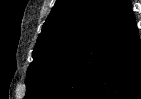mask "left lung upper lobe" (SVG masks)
<instances>
[{"instance_id":"5c2ea615","label":"left lung upper lobe","mask_w":141,"mask_h":99,"mask_svg":"<svg viewBox=\"0 0 141 99\" xmlns=\"http://www.w3.org/2000/svg\"><path fill=\"white\" fill-rule=\"evenodd\" d=\"M122 0H57L27 70L24 99H37Z\"/></svg>"}]
</instances>
